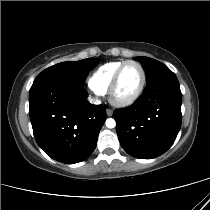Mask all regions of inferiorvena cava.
I'll return each instance as SVG.
<instances>
[{"label":"inferior vena cava","mask_w":210,"mask_h":210,"mask_svg":"<svg viewBox=\"0 0 210 210\" xmlns=\"http://www.w3.org/2000/svg\"><path fill=\"white\" fill-rule=\"evenodd\" d=\"M89 101H90V103H93V104H99L100 103L99 100L93 99V98H89Z\"/></svg>","instance_id":"1"}]
</instances>
